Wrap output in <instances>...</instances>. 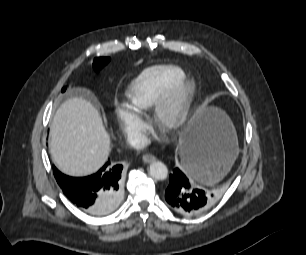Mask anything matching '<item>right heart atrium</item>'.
I'll list each match as a JSON object with an SVG mask.
<instances>
[{
    "label": "right heart atrium",
    "mask_w": 306,
    "mask_h": 255,
    "mask_svg": "<svg viewBox=\"0 0 306 255\" xmlns=\"http://www.w3.org/2000/svg\"><path fill=\"white\" fill-rule=\"evenodd\" d=\"M115 113L125 137L133 144L139 143L145 126L141 116L126 103H119Z\"/></svg>",
    "instance_id": "1"
}]
</instances>
